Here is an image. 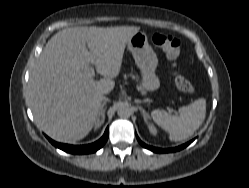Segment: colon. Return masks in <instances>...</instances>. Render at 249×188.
I'll list each match as a JSON object with an SVG mask.
<instances>
[{
  "label": "colon",
  "instance_id": "colon-1",
  "mask_svg": "<svg viewBox=\"0 0 249 188\" xmlns=\"http://www.w3.org/2000/svg\"><path fill=\"white\" fill-rule=\"evenodd\" d=\"M153 43L160 49H162L167 57L176 62L180 57L181 44L180 41L171 35L156 33L152 37ZM175 83L178 89L186 94H192L194 88L192 84L180 73H175Z\"/></svg>",
  "mask_w": 249,
  "mask_h": 188
}]
</instances>
